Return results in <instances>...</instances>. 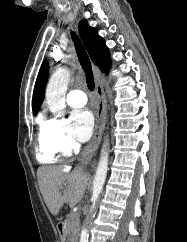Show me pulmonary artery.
<instances>
[{"mask_svg":"<svg viewBox=\"0 0 187 242\" xmlns=\"http://www.w3.org/2000/svg\"><path fill=\"white\" fill-rule=\"evenodd\" d=\"M66 101L72 107H82L86 104L87 98L82 90H71L67 94Z\"/></svg>","mask_w":187,"mask_h":242,"instance_id":"e3ab8cb5","label":"pulmonary artery"}]
</instances>
